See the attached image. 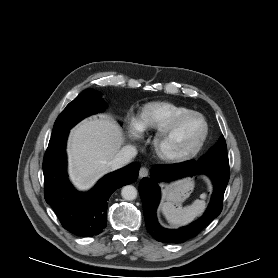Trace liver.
Segmentation results:
<instances>
[{"label": "liver", "instance_id": "1", "mask_svg": "<svg viewBox=\"0 0 278 278\" xmlns=\"http://www.w3.org/2000/svg\"><path fill=\"white\" fill-rule=\"evenodd\" d=\"M119 125L106 116L83 120L71 130L68 141L69 175L79 190L90 189L112 170L110 162L121 150Z\"/></svg>", "mask_w": 278, "mask_h": 278}]
</instances>
